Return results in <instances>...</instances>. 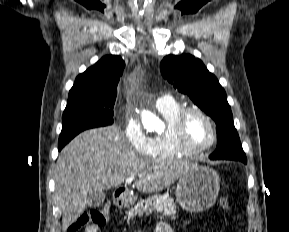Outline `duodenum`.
<instances>
[{"label":"duodenum","instance_id":"duodenum-1","mask_svg":"<svg viewBox=\"0 0 289 232\" xmlns=\"http://www.w3.org/2000/svg\"><path fill=\"white\" fill-rule=\"evenodd\" d=\"M131 202V197L128 193V191L124 189H118L114 192V203L116 206L122 208Z\"/></svg>","mask_w":289,"mask_h":232}]
</instances>
